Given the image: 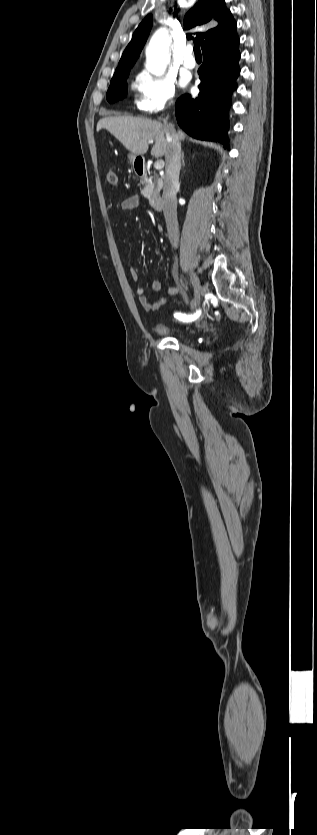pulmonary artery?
I'll return each mask as SVG.
<instances>
[{"label": "pulmonary artery", "instance_id": "1", "mask_svg": "<svg viewBox=\"0 0 317 835\" xmlns=\"http://www.w3.org/2000/svg\"><path fill=\"white\" fill-rule=\"evenodd\" d=\"M183 65L188 69H193L196 66V60L193 56V47L190 44L183 50Z\"/></svg>", "mask_w": 317, "mask_h": 835}]
</instances>
